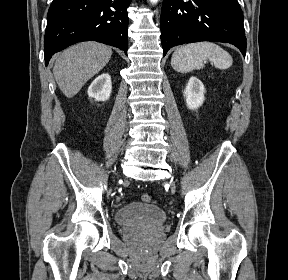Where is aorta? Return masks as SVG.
Listing matches in <instances>:
<instances>
[{
	"label": "aorta",
	"instance_id": "1",
	"mask_svg": "<svg viewBox=\"0 0 288 280\" xmlns=\"http://www.w3.org/2000/svg\"><path fill=\"white\" fill-rule=\"evenodd\" d=\"M150 2H151L152 4H156V3L158 2V0H150Z\"/></svg>",
	"mask_w": 288,
	"mask_h": 280
}]
</instances>
